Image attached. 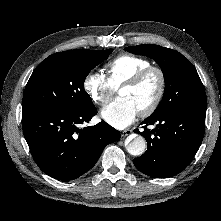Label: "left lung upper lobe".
<instances>
[{
  "mask_svg": "<svg viewBox=\"0 0 221 221\" xmlns=\"http://www.w3.org/2000/svg\"><path fill=\"white\" fill-rule=\"evenodd\" d=\"M126 51L155 60L165 78V91L161 103L152 115L177 111H206L207 99L204 86L192 65L179 52L159 45H138Z\"/></svg>",
  "mask_w": 221,
  "mask_h": 221,
  "instance_id": "obj_1",
  "label": "left lung upper lobe"
}]
</instances>
